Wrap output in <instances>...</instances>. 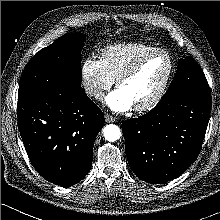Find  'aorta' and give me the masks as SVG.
<instances>
[{"label": "aorta", "mask_w": 220, "mask_h": 220, "mask_svg": "<svg viewBox=\"0 0 220 220\" xmlns=\"http://www.w3.org/2000/svg\"><path fill=\"white\" fill-rule=\"evenodd\" d=\"M104 137L109 142H115L121 137L120 129L117 125L110 124L103 129Z\"/></svg>", "instance_id": "aorta-1"}]
</instances>
